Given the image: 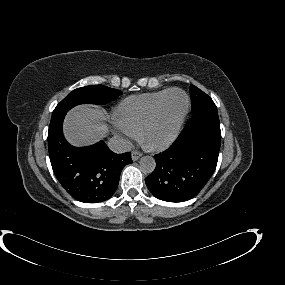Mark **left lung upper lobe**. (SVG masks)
<instances>
[{"mask_svg":"<svg viewBox=\"0 0 285 285\" xmlns=\"http://www.w3.org/2000/svg\"><path fill=\"white\" fill-rule=\"evenodd\" d=\"M190 93L193 113L205 106L215 105L213 100L207 94L194 85L190 86Z\"/></svg>","mask_w":285,"mask_h":285,"instance_id":"1","label":"left lung upper lobe"}]
</instances>
